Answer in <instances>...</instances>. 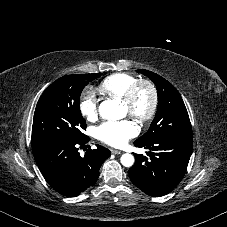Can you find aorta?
I'll return each instance as SVG.
<instances>
[{
  "instance_id": "1",
  "label": "aorta",
  "mask_w": 227,
  "mask_h": 227,
  "mask_svg": "<svg viewBox=\"0 0 227 227\" xmlns=\"http://www.w3.org/2000/svg\"><path fill=\"white\" fill-rule=\"evenodd\" d=\"M99 114L105 119H122L126 115L125 107L118 100H105L99 106ZM121 164L131 167L134 164V156L126 153L121 156Z\"/></svg>"
}]
</instances>
